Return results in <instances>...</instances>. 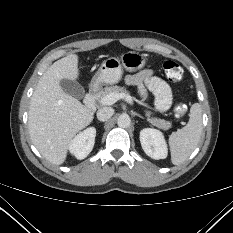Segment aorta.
<instances>
[{
	"label": "aorta",
	"mask_w": 233,
	"mask_h": 233,
	"mask_svg": "<svg viewBox=\"0 0 233 233\" xmlns=\"http://www.w3.org/2000/svg\"><path fill=\"white\" fill-rule=\"evenodd\" d=\"M130 123H131V119L127 114L120 115L118 120H117V124L121 128L128 127L130 125Z\"/></svg>",
	"instance_id": "762f6f07"
}]
</instances>
